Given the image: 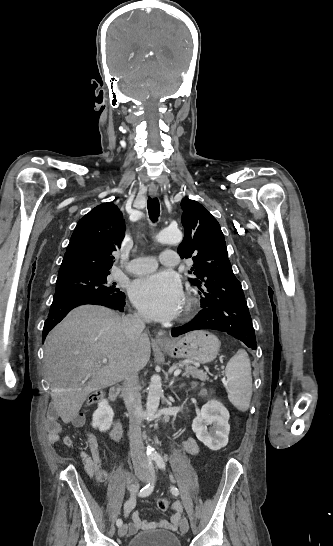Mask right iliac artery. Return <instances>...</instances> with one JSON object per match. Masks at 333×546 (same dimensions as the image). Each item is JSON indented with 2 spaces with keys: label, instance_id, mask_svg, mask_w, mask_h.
Instances as JSON below:
<instances>
[{
  "label": "right iliac artery",
  "instance_id": "obj_1",
  "mask_svg": "<svg viewBox=\"0 0 333 546\" xmlns=\"http://www.w3.org/2000/svg\"><path fill=\"white\" fill-rule=\"evenodd\" d=\"M153 458H148V467H149V470L151 472V474L154 473V467H153V462H152ZM154 489V484L153 483H149L148 485H146L144 488H142L139 492V496L140 497H146L148 495H150L152 493ZM122 523L123 521L121 519H118L117 522H116V525L118 527L122 526Z\"/></svg>",
  "mask_w": 333,
  "mask_h": 546
}]
</instances>
